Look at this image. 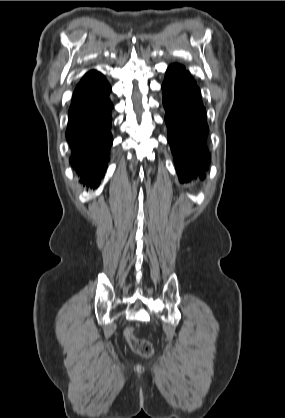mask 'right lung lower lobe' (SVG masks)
<instances>
[{
	"instance_id": "1",
	"label": "right lung lower lobe",
	"mask_w": 285,
	"mask_h": 418,
	"mask_svg": "<svg viewBox=\"0 0 285 418\" xmlns=\"http://www.w3.org/2000/svg\"><path fill=\"white\" fill-rule=\"evenodd\" d=\"M111 86L100 72L88 74L76 86L68 111L66 139L70 163L80 181L97 188L110 159L112 102Z\"/></svg>"
}]
</instances>
